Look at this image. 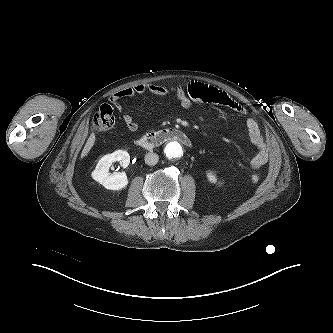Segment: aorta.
<instances>
[{"label": "aorta", "mask_w": 333, "mask_h": 333, "mask_svg": "<svg viewBox=\"0 0 333 333\" xmlns=\"http://www.w3.org/2000/svg\"><path fill=\"white\" fill-rule=\"evenodd\" d=\"M165 153L168 158L178 159L183 155V146L178 141H172L167 144Z\"/></svg>", "instance_id": "1"}]
</instances>
